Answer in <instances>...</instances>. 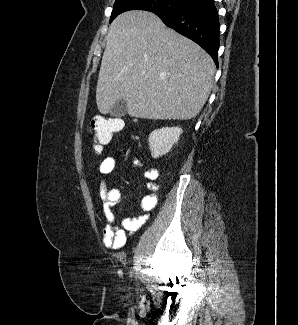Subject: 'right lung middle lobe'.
<instances>
[{"mask_svg":"<svg viewBox=\"0 0 298 325\" xmlns=\"http://www.w3.org/2000/svg\"><path fill=\"white\" fill-rule=\"evenodd\" d=\"M192 0H116L111 13L110 23L119 14L129 10L170 12L182 8Z\"/></svg>","mask_w":298,"mask_h":325,"instance_id":"obj_1","label":"right lung middle lobe"}]
</instances>
